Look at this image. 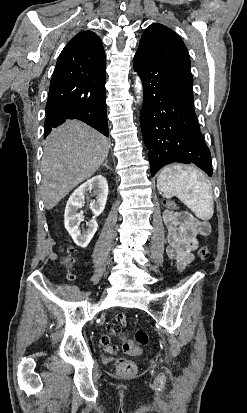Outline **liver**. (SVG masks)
Listing matches in <instances>:
<instances>
[{"label":"liver","instance_id":"6515ba94","mask_svg":"<svg viewBox=\"0 0 247 413\" xmlns=\"http://www.w3.org/2000/svg\"><path fill=\"white\" fill-rule=\"evenodd\" d=\"M109 138L81 120H66L44 140L42 198L53 209L76 184L90 178L108 156Z\"/></svg>","mask_w":247,"mask_h":413}]
</instances>
